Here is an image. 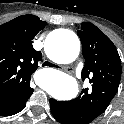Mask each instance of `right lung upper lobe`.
Returning a JSON list of instances; mask_svg holds the SVG:
<instances>
[{"label":"right lung upper lobe","instance_id":"cb5924a9","mask_svg":"<svg viewBox=\"0 0 124 124\" xmlns=\"http://www.w3.org/2000/svg\"><path fill=\"white\" fill-rule=\"evenodd\" d=\"M45 25L30 14L0 25V108L17 105L33 93L31 75L42 54L32 40Z\"/></svg>","mask_w":124,"mask_h":124}]
</instances>
